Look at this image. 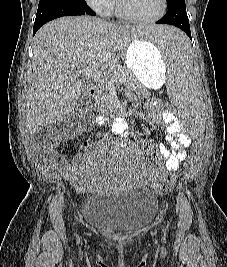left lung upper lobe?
Masks as SVG:
<instances>
[{
    "label": "left lung upper lobe",
    "mask_w": 227,
    "mask_h": 267,
    "mask_svg": "<svg viewBox=\"0 0 227 267\" xmlns=\"http://www.w3.org/2000/svg\"><path fill=\"white\" fill-rule=\"evenodd\" d=\"M181 2H185V0H167V3H181Z\"/></svg>",
    "instance_id": "5c2ea615"
}]
</instances>
